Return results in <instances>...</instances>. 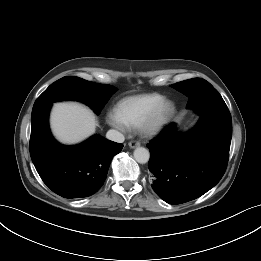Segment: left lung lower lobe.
<instances>
[{
	"mask_svg": "<svg viewBox=\"0 0 261 261\" xmlns=\"http://www.w3.org/2000/svg\"><path fill=\"white\" fill-rule=\"evenodd\" d=\"M203 92L211 101L210 91ZM198 114V124L188 133L178 132L171 123L147 145L152 188L169 204L202 196L220 181L227 167L232 137L229 110L206 109Z\"/></svg>",
	"mask_w": 261,
	"mask_h": 261,
	"instance_id": "left-lung-lower-lobe-1",
	"label": "left lung lower lobe"
}]
</instances>
